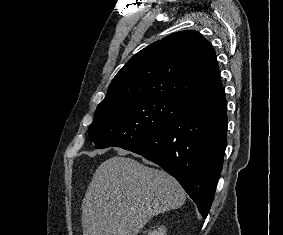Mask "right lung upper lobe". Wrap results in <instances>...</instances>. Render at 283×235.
Segmentation results:
<instances>
[{"mask_svg": "<svg viewBox=\"0 0 283 235\" xmlns=\"http://www.w3.org/2000/svg\"><path fill=\"white\" fill-rule=\"evenodd\" d=\"M222 86L214 49L199 32L173 33L134 55L113 78L99 104L133 97L180 102Z\"/></svg>", "mask_w": 283, "mask_h": 235, "instance_id": "cb5924a9", "label": "right lung upper lobe"}]
</instances>
